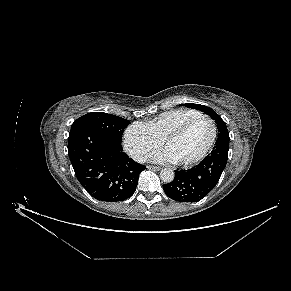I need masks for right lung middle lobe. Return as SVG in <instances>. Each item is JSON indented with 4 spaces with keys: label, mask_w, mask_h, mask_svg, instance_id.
I'll use <instances>...</instances> for the list:
<instances>
[{
    "label": "right lung middle lobe",
    "mask_w": 291,
    "mask_h": 291,
    "mask_svg": "<svg viewBox=\"0 0 291 291\" xmlns=\"http://www.w3.org/2000/svg\"><path fill=\"white\" fill-rule=\"evenodd\" d=\"M128 125L129 121L124 118L104 112H92L75 120L70 132L93 129L121 144L123 131Z\"/></svg>",
    "instance_id": "right-lung-middle-lobe-1"
}]
</instances>
